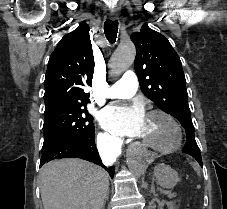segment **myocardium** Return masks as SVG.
<instances>
[{
  "label": "myocardium",
  "mask_w": 227,
  "mask_h": 209,
  "mask_svg": "<svg viewBox=\"0 0 227 209\" xmlns=\"http://www.w3.org/2000/svg\"><path fill=\"white\" fill-rule=\"evenodd\" d=\"M154 115L163 117L173 126L175 133H176V138L171 145L164 147V146L155 145V144L148 142V141L140 138L139 136H137L140 143L143 146H145L153 151L160 152V153L172 152V151H176L177 149H179L182 144V141H183V130H182V127H181L180 123L178 122V120L173 115L168 113L167 111L161 110V109H154V110H151L148 112V116H154Z\"/></svg>",
  "instance_id": "1"
}]
</instances>
